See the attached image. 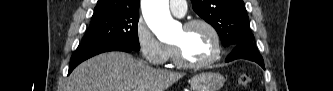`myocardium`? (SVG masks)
Listing matches in <instances>:
<instances>
[{"instance_id": "myocardium-1", "label": "myocardium", "mask_w": 333, "mask_h": 91, "mask_svg": "<svg viewBox=\"0 0 333 91\" xmlns=\"http://www.w3.org/2000/svg\"><path fill=\"white\" fill-rule=\"evenodd\" d=\"M202 26L206 28L213 37L215 50L214 54L207 60L201 62H192L185 58L181 48L177 45H173L174 52V61L177 65L187 68V69H202L206 68L215 62H217L222 54V40L218 30L208 21L203 19H193L184 23L183 28L186 30H190L194 27Z\"/></svg>"}]
</instances>
